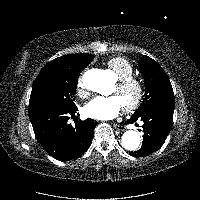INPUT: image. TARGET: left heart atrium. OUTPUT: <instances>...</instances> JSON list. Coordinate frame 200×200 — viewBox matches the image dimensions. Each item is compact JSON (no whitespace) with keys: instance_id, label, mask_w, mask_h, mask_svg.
Segmentation results:
<instances>
[{"instance_id":"obj_1","label":"left heart atrium","mask_w":200,"mask_h":200,"mask_svg":"<svg viewBox=\"0 0 200 200\" xmlns=\"http://www.w3.org/2000/svg\"><path fill=\"white\" fill-rule=\"evenodd\" d=\"M123 106L115 95L108 97H96L87 103L84 112L87 116L98 120H111L117 117Z\"/></svg>"}]
</instances>
